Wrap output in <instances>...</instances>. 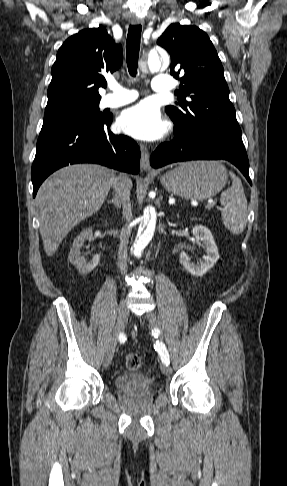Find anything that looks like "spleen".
I'll return each mask as SVG.
<instances>
[{
	"instance_id": "obj_1",
	"label": "spleen",
	"mask_w": 287,
	"mask_h": 486,
	"mask_svg": "<svg viewBox=\"0 0 287 486\" xmlns=\"http://www.w3.org/2000/svg\"><path fill=\"white\" fill-rule=\"evenodd\" d=\"M232 186L222 192L220 203L223 206L221 213L225 227L235 235L242 233L247 224V199L242 182L234 173H230Z\"/></svg>"
}]
</instances>
